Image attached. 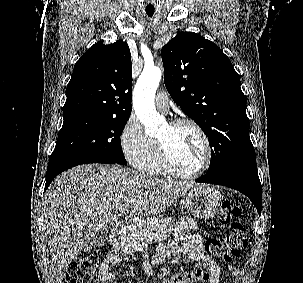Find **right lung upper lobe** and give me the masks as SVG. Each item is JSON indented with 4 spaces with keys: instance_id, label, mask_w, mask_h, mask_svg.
<instances>
[{
    "instance_id": "1",
    "label": "right lung upper lobe",
    "mask_w": 303,
    "mask_h": 283,
    "mask_svg": "<svg viewBox=\"0 0 303 283\" xmlns=\"http://www.w3.org/2000/svg\"><path fill=\"white\" fill-rule=\"evenodd\" d=\"M131 53L121 40L94 44L76 62L67 86L64 117L94 114L128 118L131 115Z\"/></svg>"
}]
</instances>
